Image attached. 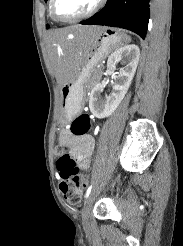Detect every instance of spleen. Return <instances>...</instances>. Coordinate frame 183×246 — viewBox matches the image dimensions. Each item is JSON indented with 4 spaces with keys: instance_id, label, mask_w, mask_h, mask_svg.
Segmentation results:
<instances>
[{
    "instance_id": "obj_1",
    "label": "spleen",
    "mask_w": 183,
    "mask_h": 246,
    "mask_svg": "<svg viewBox=\"0 0 183 246\" xmlns=\"http://www.w3.org/2000/svg\"><path fill=\"white\" fill-rule=\"evenodd\" d=\"M130 41H131V38L129 36L125 35V42L127 43V42H130Z\"/></svg>"
}]
</instances>
